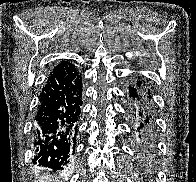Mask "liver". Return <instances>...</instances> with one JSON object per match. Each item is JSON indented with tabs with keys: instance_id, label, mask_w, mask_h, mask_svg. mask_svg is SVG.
I'll list each match as a JSON object with an SVG mask.
<instances>
[{
	"instance_id": "6515ba94",
	"label": "liver",
	"mask_w": 196,
	"mask_h": 182,
	"mask_svg": "<svg viewBox=\"0 0 196 182\" xmlns=\"http://www.w3.org/2000/svg\"><path fill=\"white\" fill-rule=\"evenodd\" d=\"M39 182H47L46 177H45V176H41V177L39 178Z\"/></svg>"
}]
</instances>
